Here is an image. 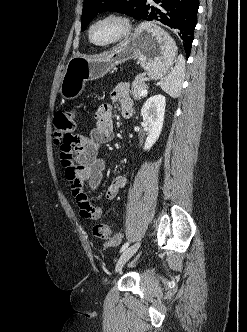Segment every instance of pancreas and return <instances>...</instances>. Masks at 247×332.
Returning <instances> with one entry per match:
<instances>
[{
    "label": "pancreas",
    "instance_id": "pancreas-1",
    "mask_svg": "<svg viewBox=\"0 0 247 332\" xmlns=\"http://www.w3.org/2000/svg\"><path fill=\"white\" fill-rule=\"evenodd\" d=\"M147 85L145 84L144 77L142 75H139L135 78L134 82L132 83L131 87V95L134 100L139 99L140 93L142 90L146 89Z\"/></svg>",
    "mask_w": 247,
    "mask_h": 332
}]
</instances>
